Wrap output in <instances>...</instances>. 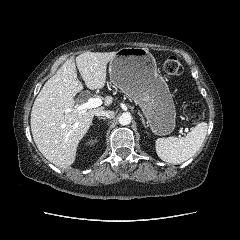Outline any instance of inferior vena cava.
<instances>
[{"label": "inferior vena cava", "mask_w": 240, "mask_h": 240, "mask_svg": "<svg viewBox=\"0 0 240 240\" xmlns=\"http://www.w3.org/2000/svg\"><path fill=\"white\" fill-rule=\"evenodd\" d=\"M96 116H103L111 119L114 117V112L110 110H100L95 113Z\"/></svg>", "instance_id": "obj_1"}]
</instances>
